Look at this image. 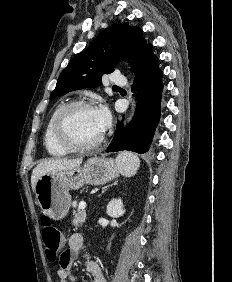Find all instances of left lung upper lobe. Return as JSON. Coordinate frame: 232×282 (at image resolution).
I'll list each match as a JSON object with an SVG mask.
<instances>
[{
  "label": "left lung upper lobe",
  "instance_id": "left-lung-upper-lobe-1",
  "mask_svg": "<svg viewBox=\"0 0 232 282\" xmlns=\"http://www.w3.org/2000/svg\"><path fill=\"white\" fill-rule=\"evenodd\" d=\"M142 35L141 28L129 27L128 23L115 24L102 31L61 72L50 99L100 85L103 74L111 73L119 60H127L134 67L148 45Z\"/></svg>",
  "mask_w": 232,
  "mask_h": 282
}]
</instances>
